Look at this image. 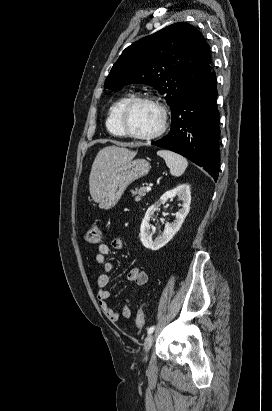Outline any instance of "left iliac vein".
<instances>
[{"mask_svg": "<svg viewBox=\"0 0 272 411\" xmlns=\"http://www.w3.org/2000/svg\"><path fill=\"white\" fill-rule=\"evenodd\" d=\"M153 340H154L153 335H152V334H149V335L147 336V338L145 339V341H144V351H145V354H146V355H147V353L149 352V350H150V348H151V346H152ZM145 358H146V357H145Z\"/></svg>", "mask_w": 272, "mask_h": 411, "instance_id": "4c4485c4", "label": "left iliac vein"}]
</instances>
